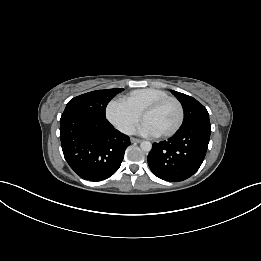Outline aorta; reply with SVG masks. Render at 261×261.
<instances>
[{"instance_id": "762f6f07", "label": "aorta", "mask_w": 261, "mask_h": 261, "mask_svg": "<svg viewBox=\"0 0 261 261\" xmlns=\"http://www.w3.org/2000/svg\"><path fill=\"white\" fill-rule=\"evenodd\" d=\"M140 147L143 151L149 152L152 149V144L149 141H142Z\"/></svg>"}]
</instances>
